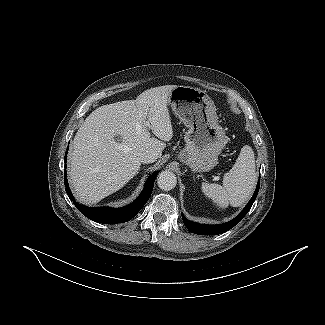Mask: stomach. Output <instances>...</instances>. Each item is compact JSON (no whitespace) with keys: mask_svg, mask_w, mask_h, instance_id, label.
<instances>
[{"mask_svg":"<svg viewBox=\"0 0 325 325\" xmlns=\"http://www.w3.org/2000/svg\"><path fill=\"white\" fill-rule=\"evenodd\" d=\"M168 104L188 128L178 158L194 172L213 169L227 143L213 100L198 88L180 85L170 92Z\"/></svg>","mask_w":325,"mask_h":325,"instance_id":"stomach-1","label":"stomach"}]
</instances>
